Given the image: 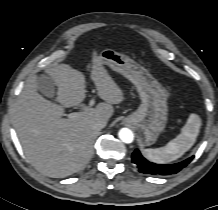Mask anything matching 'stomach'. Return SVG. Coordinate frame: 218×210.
I'll return each mask as SVG.
<instances>
[{"label":"stomach","instance_id":"stomach-1","mask_svg":"<svg viewBox=\"0 0 218 210\" xmlns=\"http://www.w3.org/2000/svg\"><path fill=\"white\" fill-rule=\"evenodd\" d=\"M99 57L103 65L122 74L135 85L141 105L123 123L133 126L139 132L143 146L154 144L167 123V90L146 69L124 54L105 49Z\"/></svg>","mask_w":218,"mask_h":210}]
</instances>
